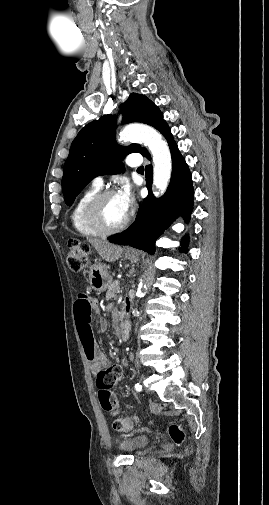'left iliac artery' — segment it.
Instances as JSON below:
<instances>
[{
    "instance_id": "obj_1",
    "label": "left iliac artery",
    "mask_w": 269,
    "mask_h": 505,
    "mask_svg": "<svg viewBox=\"0 0 269 505\" xmlns=\"http://www.w3.org/2000/svg\"><path fill=\"white\" fill-rule=\"evenodd\" d=\"M135 389H136V391L141 392L142 391V386L139 383H137L135 385Z\"/></svg>"
}]
</instances>
